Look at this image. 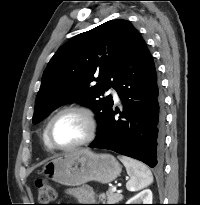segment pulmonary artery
<instances>
[{"instance_id":"obj_1","label":"pulmonary artery","mask_w":200,"mask_h":205,"mask_svg":"<svg viewBox=\"0 0 200 205\" xmlns=\"http://www.w3.org/2000/svg\"><path fill=\"white\" fill-rule=\"evenodd\" d=\"M108 93H110L116 101H119V96L114 88H110Z\"/></svg>"}]
</instances>
